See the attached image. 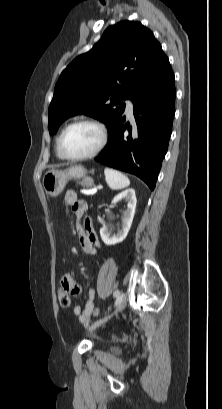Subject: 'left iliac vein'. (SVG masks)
Returning <instances> with one entry per match:
<instances>
[{
	"label": "left iliac vein",
	"instance_id": "obj_1",
	"mask_svg": "<svg viewBox=\"0 0 222 409\" xmlns=\"http://www.w3.org/2000/svg\"><path fill=\"white\" fill-rule=\"evenodd\" d=\"M127 303V299H126V295L124 293H122L117 301L116 304V308L114 310V312L112 314L107 315L105 318H103L102 320L96 321L93 325H92V329H96L99 326H101L104 322H106L107 320H109L113 315L118 314L119 312H121Z\"/></svg>",
	"mask_w": 222,
	"mask_h": 409
}]
</instances>
